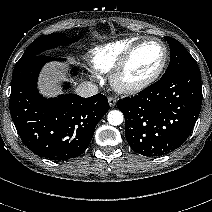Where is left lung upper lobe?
I'll return each instance as SVG.
<instances>
[{"label": "left lung upper lobe", "mask_w": 212, "mask_h": 212, "mask_svg": "<svg viewBox=\"0 0 212 212\" xmlns=\"http://www.w3.org/2000/svg\"><path fill=\"white\" fill-rule=\"evenodd\" d=\"M165 39L170 46L171 59L162 78L186 68L198 67L194 58L178 40L171 37H165Z\"/></svg>", "instance_id": "5c2ea615"}]
</instances>
